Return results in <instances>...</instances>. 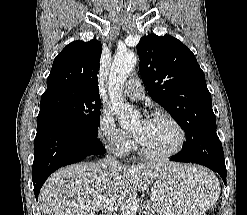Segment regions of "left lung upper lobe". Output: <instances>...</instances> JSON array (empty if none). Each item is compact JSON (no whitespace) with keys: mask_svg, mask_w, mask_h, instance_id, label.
I'll use <instances>...</instances> for the list:
<instances>
[{"mask_svg":"<svg viewBox=\"0 0 247 215\" xmlns=\"http://www.w3.org/2000/svg\"><path fill=\"white\" fill-rule=\"evenodd\" d=\"M137 53L148 94L186 134L183 149H195V138L216 136L211 94L194 54L173 36L155 34L140 39Z\"/></svg>","mask_w":247,"mask_h":215,"instance_id":"obj_1","label":"left lung upper lobe"}]
</instances>
